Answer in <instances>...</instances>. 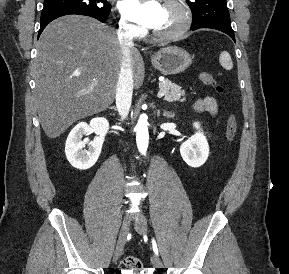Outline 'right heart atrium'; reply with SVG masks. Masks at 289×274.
Wrapping results in <instances>:
<instances>
[{
    "label": "right heart atrium",
    "mask_w": 289,
    "mask_h": 274,
    "mask_svg": "<svg viewBox=\"0 0 289 274\" xmlns=\"http://www.w3.org/2000/svg\"><path fill=\"white\" fill-rule=\"evenodd\" d=\"M119 27L121 31L129 35H136L139 32V28L133 23L129 22L125 17H119Z\"/></svg>",
    "instance_id": "right-heart-atrium-1"
}]
</instances>
